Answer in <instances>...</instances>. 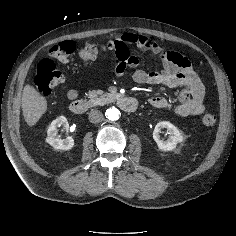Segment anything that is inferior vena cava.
<instances>
[{"mask_svg":"<svg viewBox=\"0 0 236 236\" xmlns=\"http://www.w3.org/2000/svg\"><path fill=\"white\" fill-rule=\"evenodd\" d=\"M103 120V114L99 110H91L89 113V121L92 123H99Z\"/></svg>","mask_w":236,"mask_h":236,"instance_id":"602c4592","label":"inferior vena cava"}]
</instances>
